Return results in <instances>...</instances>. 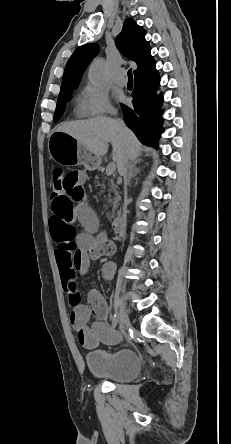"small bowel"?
Instances as JSON below:
<instances>
[{
    "label": "small bowel",
    "mask_w": 231,
    "mask_h": 444,
    "mask_svg": "<svg viewBox=\"0 0 231 444\" xmlns=\"http://www.w3.org/2000/svg\"><path fill=\"white\" fill-rule=\"evenodd\" d=\"M85 181L86 174L81 170H72L65 175L67 193L60 199H51L49 227L56 246L55 258L63 289L71 308L70 323L79 343L87 349H94L100 344H114L118 333L107 323V303L96 289H89L87 304L81 301L76 272L88 275L91 261L112 255L115 245L93 235L97 218L85 200ZM76 224L82 227L81 231L76 230ZM114 272L115 266L111 263L105 264L101 270L105 280H111ZM91 316L97 320L90 324Z\"/></svg>",
    "instance_id": "small-bowel-1"
}]
</instances>
